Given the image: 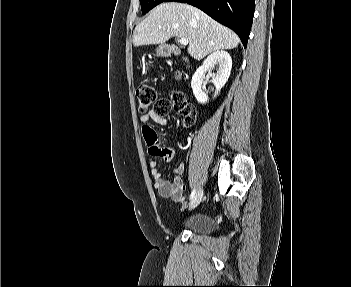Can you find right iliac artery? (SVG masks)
Listing matches in <instances>:
<instances>
[{
    "label": "right iliac artery",
    "instance_id": "right-iliac-artery-1",
    "mask_svg": "<svg viewBox=\"0 0 351 287\" xmlns=\"http://www.w3.org/2000/svg\"><path fill=\"white\" fill-rule=\"evenodd\" d=\"M196 190L193 189L191 194H190V200L193 199V197L195 196Z\"/></svg>",
    "mask_w": 351,
    "mask_h": 287
}]
</instances>
